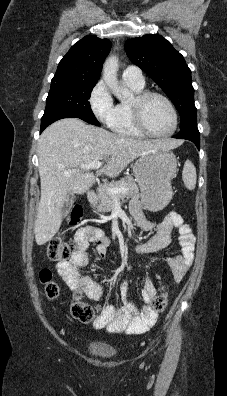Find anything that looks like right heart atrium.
<instances>
[{
  "label": "right heart atrium",
  "instance_id": "obj_1",
  "mask_svg": "<svg viewBox=\"0 0 227 396\" xmlns=\"http://www.w3.org/2000/svg\"><path fill=\"white\" fill-rule=\"evenodd\" d=\"M89 105L94 116L107 123L114 111V101L103 81H98L89 95Z\"/></svg>",
  "mask_w": 227,
  "mask_h": 396
}]
</instances>
